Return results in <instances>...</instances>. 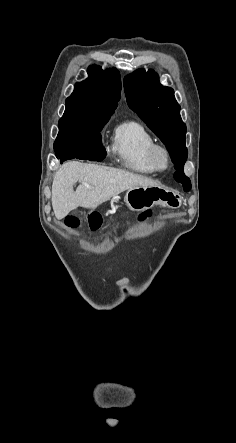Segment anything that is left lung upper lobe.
Listing matches in <instances>:
<instances>
[{"instance_id": "left-lung-upper-lobe-1", "label": "left lung upper lobe", "mask_w": 236, "mask_h": 443, "mask_svg": "<svg viewBox=\"0 0 236 443\" xmlns=\"http://www.w3.org/2000/svg\"><path fill=\"white\" fill-rule=\"evenodd\" d=\"M129 107L167 147L175 169L183 170L188 151L185 145L186 125L172 88L163 86L158 75L138 69L124 78Z\"/></svg>"}]
</instances>
